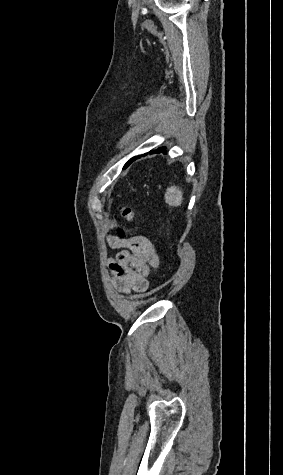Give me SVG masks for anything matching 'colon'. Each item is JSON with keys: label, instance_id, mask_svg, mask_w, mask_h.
Instances as JSON below:
<instances>
[{"label": "colon", "instance_id": "obj_1", "mask_svg": "<svg viewBox=\"0 0 283 475\" xmlns=\"http://www.w3.org/2000/svg\"><path fill=\"white\" fill-rule=\"evenodd\" d=\"M119 213L121 217L127 219L128 221H132L134 219V211L128 207H124L119 209ZM116 218V216H115ZM127 230L123 227L118 229V238L117 239H126L127 238Z\"/></svg>", "mask_w": 283, "mask_h": 475}]
</instances>
